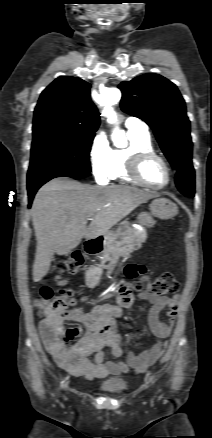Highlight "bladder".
I'll list each match as a JSON object with an SVG mask.
<instances>
[{
	"mask_svg": "<svg viewBox=\"0 0 212 438\" xmlns=\"http://www.w3.org/2000/svg\"><path fill=\"white\" fill-rule=\"evenodd\" d=\"M99 388L107 393L119 394L127 389V382L124 379H106L99 383Z\"/></svg>",
	"mask_w": 212,
	"mask_h": 438,
	"instance_id": "obj_1",
	"label": "bladder"
}]
</instances>
